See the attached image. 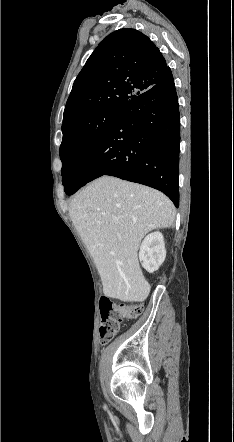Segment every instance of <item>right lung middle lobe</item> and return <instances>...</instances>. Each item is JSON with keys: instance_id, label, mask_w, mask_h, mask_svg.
<instances>
[{"instance_id": "1", "label": "right lung middle lobe", "mask_w": 234, "mask_h": 442, "mask_svg": "<svg viewBox=\"0 0 234 442\" xmlns=\"http://www.w3.org/2000/svg\"><path fill=\"white\" fill-rule=\"evenodd\" d=\"M120 108H105L89 113L70 122L62 129L60 158L62 160V183L65 189L71 183L70 171L75 163L103 138Z\"/></svg>"}]
</instances>
